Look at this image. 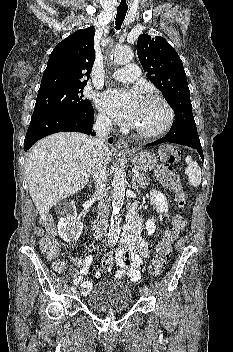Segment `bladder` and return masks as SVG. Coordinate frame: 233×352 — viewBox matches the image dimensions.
Instances as JSON below:
<instances>
[{
  "mask_svg": "<svg viewBox=\"0 0 233 352\" xmlns=\"http://www.w3.org/2000/svg\"><path fill=\"white\" fill-rule=\"evenodd\" d=\"M132 292L119 282H99L86 296V305L91 310L104 313H118L132 305Z\"/></svg>",
  "mask_w": 233,
  "mask_h": 352,
  "instance_id": "obj_1",
  "label": "bladder"
}]
</instances>
